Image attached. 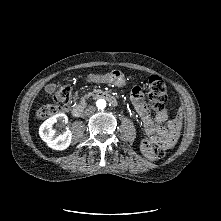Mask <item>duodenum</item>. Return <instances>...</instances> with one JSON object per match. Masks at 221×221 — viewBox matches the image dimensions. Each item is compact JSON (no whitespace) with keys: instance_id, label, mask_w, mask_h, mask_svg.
<instances>
[{"instance_id":"410a0bca","label":"duodenum","mask_w":221,"mask_h":221,"mask_svg":"<svg viewBox=\"0 0 221 221\" xmlns=\"http://www.w3.org/2000/svg\"><path fill=\"white\" fill-rule=\"evenodd\" d=\"M91 98L92 99L102 98V99L107 100L113 106L118 105L117 98L114 95H112L111 93L106 92V91H95V92L92 93ZM83 109H84L83 105H80V104L75 105L71 110L72 116L73 117H80L81 114L83 113Z\"/></svg>"}]
</instances>
